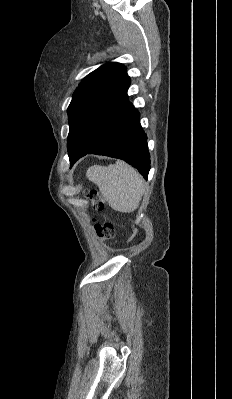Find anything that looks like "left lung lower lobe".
Listing matches in <instances>:
<instances>
[{"instance_id": "0a47b994", "label": "left lung lower lobe", "mask_w": 232, "mask_h": 399, "mask_svg": "<svg viewBox=\"0 0 232 399\" xmlns=\"http://www.w3.org/2000/svg\"><path fill=\"white\" fill-rule=\"evenodd\" d=\"M87 154L122 159L137 168L139 173L147 179L150 170V154L147 136L140 124V113L132 107L129 114L106 139L81 157ZM76 161L70 165L72 166Z\"/></svg>"}]
</instances>
